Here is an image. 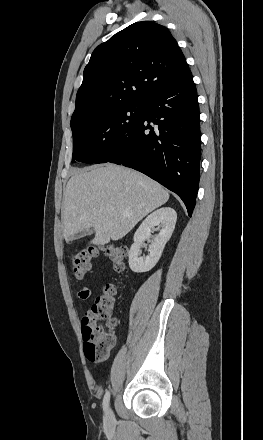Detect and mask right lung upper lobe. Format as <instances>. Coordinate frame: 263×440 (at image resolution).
Returning a JSON list of instances; mask_svg holds the SVG:
<instances>
[{
  "label": "right lung upper lobe",
  "instance_id": "cb5924a9",
  "mask_svg": "<svg viewBox=\"0 0 263 440\" xmlns=\"http://www.w3.org/2000/svg\"><path fill=\"white\" fill-rule=\"evenodd\" d=\"M188 71L183 53L164 26L136 22L93 51L76 95L71 128L100 110L142 103Z\"/></svg>",
  "mask_w": 263,
  "mask_h": 440
}]
</instances>
